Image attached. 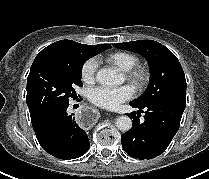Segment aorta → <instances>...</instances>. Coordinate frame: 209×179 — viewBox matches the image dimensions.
<instances>
[{"mask_svg":"<svg viewBox=\"0 0 209 179\" xmlns=\"http://www.w3.org/2000/svg\"><path fill=\"white\" fill-rule=\"evenodd\" d=\"M97 82L105 86L120 84L122 78L116 70L110 68L100 69L96 74ZM116 126L120 131L126 132L132 128V120L128 116H120L116 120Z\"/></svg>","mask_w":209,"mask_h":179,"instance_id":"762f6f07","label":"aorta"}]
</instances>
